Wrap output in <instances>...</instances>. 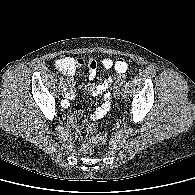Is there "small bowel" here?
I'll return each mask as SVG.
<instances>
[{"label":"small bowel","mask_w":195,"mask_h":195,"mask_svg":"<svg viewBox=\"0 0 195 195\" xmlns=\"http://www.w3.org/2000/svg\"><path fill=\"white\" fill-rule=\"evenodd\" d=\"M66 61L68 62V65L66 67H59V70L69 76V84L72 88V91H70L66 95V100H73L75 97L74 90L78 87L77 82L73 78V75L75 72L83 66L84 61L81 58H65ZM101 65L105 69H111L114 68L115 72L112 76L99 81L98 83H90L83 88L91 95L93 96H99L103 95L104 102L99 106L90 116L92 120H98L101 119L102 117L105 116V114L109 111L110 109V98L111 95L108 92L109 88L112 86L114 83L115 79L119 76L122 75L126 70H127V63L121 59L118 58L115 61H113L111 58H103L101 60ZM88 77L90 80H99V76L97 74V62L90 58L88 60ZM82 113V107L79 105H75L70 109V122L74 123L76 118L79 117Z\"/></svg>","instance_id":"1"}]
</instances>
